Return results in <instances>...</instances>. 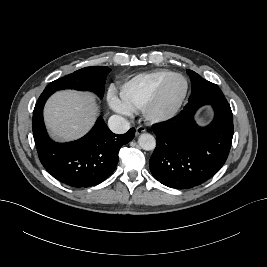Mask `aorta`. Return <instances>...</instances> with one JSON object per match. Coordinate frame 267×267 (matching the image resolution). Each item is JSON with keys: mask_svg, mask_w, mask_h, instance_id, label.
I'll return each mask as SVG.
<instances>
[{"mask_svg": "<svg viewBox=\"0 0 267 267\" xmlns=\"http://www.w3.org/2000/svg\"><path fill=\"white\" fill-rule=\"evenodd\" d=\"M138 144L142 149L146 151H151L154 150L156 146V141L153 135L149 133H143L139 136Z\"/></svg>", "mask_w": 267, "mask_h": 267, "instance_id": "1", "label": "aorta"}]
</instances>
